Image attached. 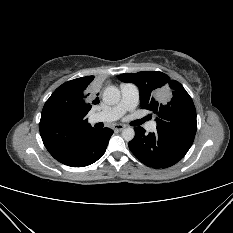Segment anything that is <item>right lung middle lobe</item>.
I'll list each match as a JSON object with an SVG mask.
<instances>
[{
    "instance_id": "right-lung-middle-lobe-1",
    "label": "right lung middle lobe",
    "mask_w": 233,
    "mask_h": 233,
    "mask_svg": "<svg viewBox=\"0 0 233 233\" xmlns=\"http://www.w3.org/2000/svg\"><path fill=\"white\" fill-rule=\"evenodd\" d=\"M83 117L81 105L57 88L43 107L40 133L50 134L74 130Z\"/></svg>"
}]
</instances>
